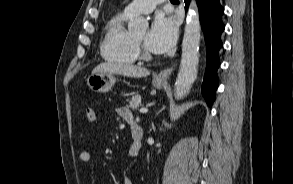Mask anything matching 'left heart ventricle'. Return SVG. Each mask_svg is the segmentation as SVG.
I'll use <instances>...</instances> for the list:
<instances>
[{
    "label": "left heart ventricle",
    "instance_id": "left-heart-ventricle-1",
    "mask_svg": "<svg viewBox=\"0 0 293 184\" xmlns=\"http://www.w3.org/2000/svg\"><path fill=\"white\" fill-rule=\"evenodd\" d=\"M146 36H147L146 33L143 32V33H141V34L135 36V39H136L138 42H140V43L145 47V49H146L147 51H149L148 48L146 47V44H145Z\"/></svg>",
    "mask_w": 293,
    "mask_h": 184
}]
</instances>
